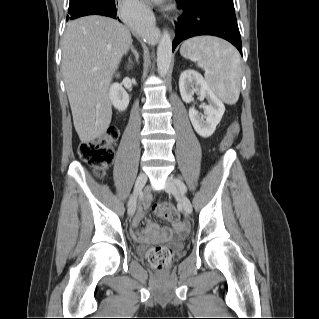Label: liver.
<instances>
[{
	"mask_svg": "<svg viewBox=\"0 0 319 319\" xmlns=\"http://www.w3.org/2000/svg\"><path fill=\"white\" fill-rule=\"evenodd\" d=\"M131 43L129 29L108 17H81L66 26L62 73L74 127L83 143L100 137L110 125L109 86Z\"/></svg>",
	"mask_w": 319,
	"mask_h": 319,
	"instance_id": "1",
	"label": "liver"
}]
</instances>
